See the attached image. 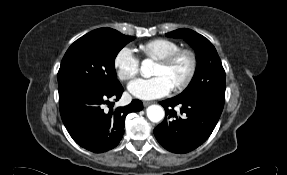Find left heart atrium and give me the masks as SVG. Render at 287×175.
<instances>
[{
    "mask_svg": "<svg viewBox=\"0 0 287 175\" xmlns=\"http://www.w3.org/2000/svg\"><path fill=\"white\" fill-rule=\"evenodd\" d=\"M172 89V85L163 75L147 79L139 78L132 81L128 86L129 92L134 97L142 100H151L166 96Z\"/></svg>",
    "mask_w": 287,
    "mask_h": 175,
    "instance_id": "left-heart-atrium-1",
    "label": "left heart atrium"
}]
</instances>
